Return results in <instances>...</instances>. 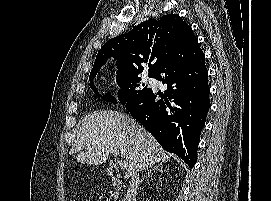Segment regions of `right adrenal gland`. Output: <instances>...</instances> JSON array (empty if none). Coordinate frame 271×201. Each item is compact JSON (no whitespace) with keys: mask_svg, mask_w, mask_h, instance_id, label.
I'll use <instances>...</instances> for the list:
<instances>
[{"mask_svg":"<svg viewBox=\"0 0 271 201\" xmlns=\"http://www.w3.org/2000/svg\"><path fill=\"white\" fill-rule=\"evenodd\" d=\"M152 171H156V172H163V167H162V163H157L155 166L150 167V169L148 170V172L142 177L141 183H143L144 179L147 176H150Z\"/></svg>","mask_w":271,"mask_h":201,"instance_id":"obj_1","label":"right adrenal gland"}]
</instances>
